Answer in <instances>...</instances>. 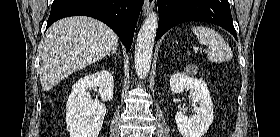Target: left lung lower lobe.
<instances>
[{
    "mask_svg": "<svg viewBox=\"0 0 280 137\" xmlns=\"http://www.w3.org/2000/svg\"><path fill=\"white\" fill-rule=\"evenodd\" d=\"M159 24L156 40L175 25L187 21L212 23L237 39L228 0H157Z\"/></svg>",
    "mask_w": 280,
    "mask_h": 137,
    "instance_id": "1",
    "label": "left lung lower lobe"
}]
</instances>
